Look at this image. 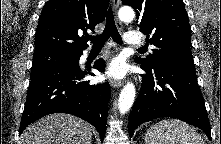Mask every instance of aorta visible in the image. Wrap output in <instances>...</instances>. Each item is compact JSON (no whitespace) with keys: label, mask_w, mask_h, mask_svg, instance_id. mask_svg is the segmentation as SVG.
Here are the masks:
<instances>
[{"label":"aorta","mask_w":221,"mask_h":144,"mask_svg":"<svg viewBox=\"0 0 221 144\" xmlns=\"http://www.w3.org/2000/svg\"><path fill=\"white\" fill-rule=\"evenodd\" d=\"M119 18L123 22H130L135 17V12L131 7H122L119 10ZM135 99V86L128 82L121 90L119 96L118 109L121 114H125L133 105Z\"/></svg>","instance_id":"1"}]
</instances>
